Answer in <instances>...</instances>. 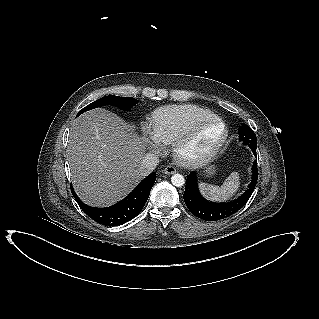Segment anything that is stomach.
<instances>
[{"mask_svg": "<svg viewBox=\"0 0 319 319\" xmlns=\"http://www.w3.org/2000/svg\"><path fill=\"white\" fill-rule=\"evenodd\" d=\"M214 173H215V170H214L213 167H209V168H207L206 171H205L206 176H211V175H213Z\"/></svg>", "mask_w": 319, "mask_h": 319, "instance_id": "1", "label": "stomach"}]
</instances>
